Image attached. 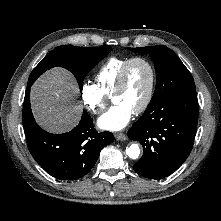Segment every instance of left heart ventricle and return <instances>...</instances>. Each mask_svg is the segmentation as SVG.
<instances>
[{
	"instance_id": "left-heart-ventricle-1",
	"label": "left heart ventricle",
	"mask_w": 221,
	"mask_h": 221,
	"mask_svg": "<svg viewBox=\"0 0 221 221\" xmlns=\"http://www.w3.org/2000/svg\"><path fill=\"white\" fill-rule=\"evenodd\" d=\"M150 83V73L141 62L133 63L127 73L125 87L113 98V103L123 104L134 112L144 101Z\"/></svg>"
}]
</instances>
